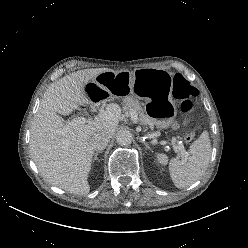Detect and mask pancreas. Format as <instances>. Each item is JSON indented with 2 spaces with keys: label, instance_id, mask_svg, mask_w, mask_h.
I'll list each match as a JSON object with an SVG mask.
<instances>
[{
  "label": "pancreas",
  "instance_id": "cf45deb5",
  "mask_svg": "<svg viewBox=\"0 0 248 248\" xmlns=\"http://www.w3.org/2000/svg\"><path fill=\"white\" fill-rule=\"evenodd\" d=\"M123 109L129 112L134 111L137 115H139V120L141 123L148 122V117L144 114V111L137 99L133 97L125 98Z\"/></svg>",
  "mask_w": 248,
  "mask_h": 248
}]
</instances>
